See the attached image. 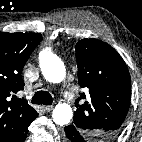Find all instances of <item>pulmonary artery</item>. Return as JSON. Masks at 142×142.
Instances as JSON below:
<instances>
[{"mask_svg":"<svg viewBox=\"0 0 142 142\" xmlns=\"http://www.w3.org/2000/svg\"><path fill=\"white\" fill-rule=\"evenodd\" d=\"M63 97L65 100L69 101L71 99L70 95H68L65 91L63 92Z\"/></svg>","mask_w":142,"mask_h":142,"instance_id":"obj_1","label":"pulmonary artery"}]
</instances>
